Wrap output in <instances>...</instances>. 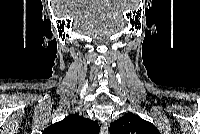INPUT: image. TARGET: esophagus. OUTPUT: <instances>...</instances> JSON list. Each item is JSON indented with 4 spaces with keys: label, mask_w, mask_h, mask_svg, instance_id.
I'll list each match as a JSON object with an SVG mask.
<instances>
[{
    "label": "esophagus",
    "mask_w": 200,
    "mask_h": 134,
    "mask_svg": "<svg viewBox=\"0 0 200 134\" xmlns=\"http://www.w3.org/2000/svg\"><path fill=\"white\" fill-rule=\"evenodd\" d=\"M108 124L104 123L100 128V134H108Z\"/></svg>",
    "instance_id": "esophagus-1"
}]
</instances>
